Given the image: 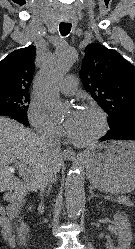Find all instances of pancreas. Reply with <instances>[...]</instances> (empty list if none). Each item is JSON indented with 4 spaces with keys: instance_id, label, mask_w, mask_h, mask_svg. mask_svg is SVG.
Returning <instances> with one entry per match:
<instances>
[{
    "instance_id": "cf45deb5",
    "label": "pancreas",
    "mask_w": 135,
    "mask_h": 249,
    "mask_svg": "<svg viewBox=\"0 0 135 249\" xmlns=\"http://www.w3.org/2000/svg\"><path fill=\"white\" fill-rule=\"evenodd\" d=\"M115 201L119 204H123L126 206H132V202L127 197H124V196L118 197Z\"/></svg>"
}]
</instances>
